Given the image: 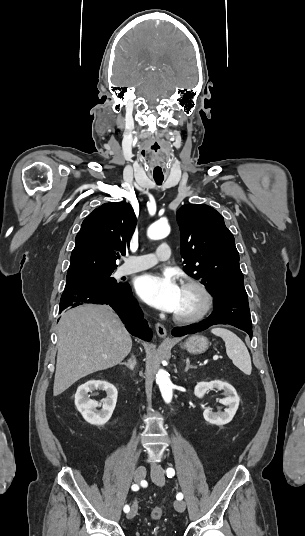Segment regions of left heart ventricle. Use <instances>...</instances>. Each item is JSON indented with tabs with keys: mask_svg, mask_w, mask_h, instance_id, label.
Here are the masks:
<instances>
[{
	"mask_svg": "<svg viewBox=\"0 0 305 536\" xmlns=\"http://www.w3.org/2000/svg\"><path fill=\"white\" fill-rule=\"evenodd\" d=\"M203 306V297L199 291L189 287H181L180 303L175 313H194Z\"/></svg>",
	"mask_w": 305,
	"mask_h": 536,
	"instance_id": "b2bd125f",
	"label": "left heart ventricle"
}]
</instances>
